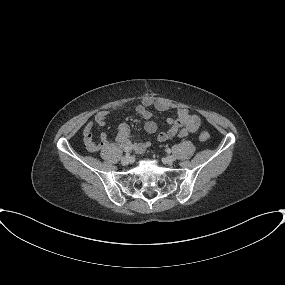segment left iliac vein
Listing matches in <instances>:
<instances>
[{"label": "left iliac vein", "instance_id": "1", "mask_svg": "<svg viewBox=\"0 0 285 285\" xmlns=\"http://www.w3.org/2000/svg\"><path fill=\"white\" fill-rule=\"evenodd\" d=\"M166 163L168 164H172L175 161V157L174 156H167L165 158Z\"/></svg>", "mask_w": 285, "mask_h": 285}]
</instances>
